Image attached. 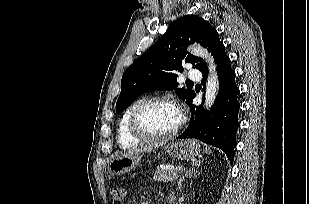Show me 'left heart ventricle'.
<instances>
[{"instance_id": "obj_1", "label": "left heart ventricle", "mask_w": 309, "mask_h": 204, "mask_svg": "<svg viewBox=\"0 0 309 204\" xmlns=\"http://www.w3.org/2000/svg\"><path fill=\"white\" fill-rule=\"evenodd\" d=\"M179 112L174 107L156 104L148 107L140 116V124L152 134H165L179 122Z\"/></svg>"}]
</instances>
